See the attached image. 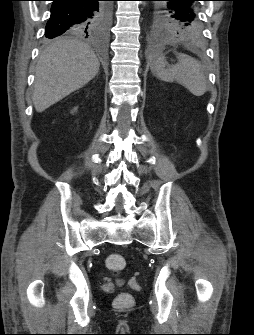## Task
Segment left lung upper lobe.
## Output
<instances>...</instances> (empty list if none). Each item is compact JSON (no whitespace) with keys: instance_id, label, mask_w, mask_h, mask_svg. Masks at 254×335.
Returning a JSON list of instances; mask_svg holds the SVG:
<instances>
[{"instance_id":"obj_1","label":"left lung upper lobe","mask_w":254,"mask_h":335,"mask_svg":"<svg viewBox=\"0 0 254 335\" xmlns=\"http://www.w3.org/2000/svg\"><path fill=\"white\" fill-rule=\"evenodd\" d=\"M150 28L158 33H197L201 28L198 0H147Z\"/></svg>"}]
</instances>
